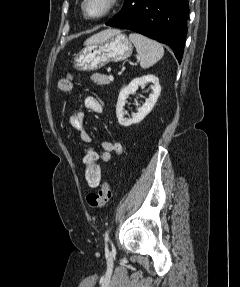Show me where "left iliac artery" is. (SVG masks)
I'll list each match as a JSON object with an SVG mask.
<instances>
[{
	"mask_svg": "<svg viewBox=\"0 0 240 287\" xmlns=\"http://www.w3.org/2000/svg\"><path fill=\"white\" fill-rule=\"evenodd\" d=\"M109 241V230L105 232V242L107 243Z\"/></svg>",
	"mask_w": 240,
	"mask_h": 287,
	"instance_id": "1",
	"label": "left iliac artery"
}]
</instances>
